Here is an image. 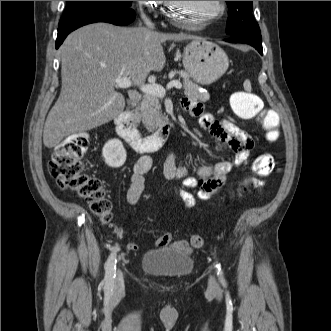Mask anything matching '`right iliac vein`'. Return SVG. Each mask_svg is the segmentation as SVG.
I'll return each mask as SVG.
<instances>
[{
  "label": "right iliac vein",
  "instance_id": "63e3f726",
  "mask_svg": "<svg viewBox=\"0 0 331 331\" xmlns=\"http://www.w3.org/2000/svg\"><path fill=\"white\" fill-rule=\"evenodd\" d=\"M124 291V279L123 274L120 269L117 270V275L115 278L114 292L117 295L122 294Z\"/></svg>",
  "mask_w": 331,
  "mask_h": 331
}]
</instances>
